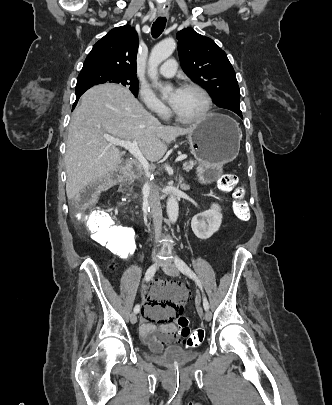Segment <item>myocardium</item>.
<instances>
[{
	"instance_id": "myocardium-1",
	"label": "myocardium",
	"mask_w": 332,
	"mask_h": 405,
	"mask_svg": "<svg viewBox=\"0 0 332 405\" xmlns=\"http://www.w3.org/2000/svg\"><path fill=\"white\" fill-rule=\"evenodd\" d=\"M181 89L195 90V91L199 92L202 95V97L204 98L205 106H204V109L202 110V112L198 116L193 117V118H183L176 113V111L173 109V107H171L172 117L175 120H177L178 122L184 123V124H195V123H199V122L205 120L207 118V116L209 115L211 108H212V98H211L210 94L207 92V90L196 83H185L182 85Z\"/></svg>"
}]
</instances>
